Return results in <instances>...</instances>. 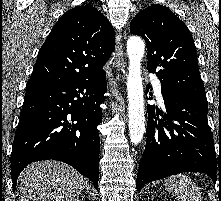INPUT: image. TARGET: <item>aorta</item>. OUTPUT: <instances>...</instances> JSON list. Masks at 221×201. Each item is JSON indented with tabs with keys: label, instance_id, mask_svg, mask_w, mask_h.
<instances>
[{
	"label": "aorta",
	"instance_id": "762f6f07",
	"mask_svg": "<svg viewBox=\"0 0 221 201\" xmlns=\"http://www.w3.org/2000/svg\"><path fill=\"white\" fill-rule=\"evenodd\" d=\"M144 41L133 36L127 41L129 69L127 75L129 135L133 144H138L145 133L144 94L141 77V60L144 55Z\"/></svg>",
	"mask_w": 221,
	"mask_h": 201
}]
</instances>
